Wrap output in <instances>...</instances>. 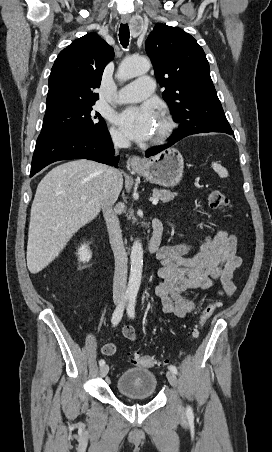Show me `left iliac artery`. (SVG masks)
<instances>
[{"label":"left iliac artery","instance_id":"left-iliac-artery-1","mask_svg":"<svg viewBox=\"0 0 272 452\" xmlns=\"http://www.w3.org/2000/svg\"><path fill=\"white\" fill-rule=\"evenodd\" d=\"M135 306H136V296L132 295L129 298V304H128V308H127V313L130 318L135 317ZM169 370H171L175 374L178 373L177 368L174 365H170ZM187 416L193 417V410L190 406L187 407Z\"/></svg>","mask_w":272,"mask_h":452}]
</instances>
